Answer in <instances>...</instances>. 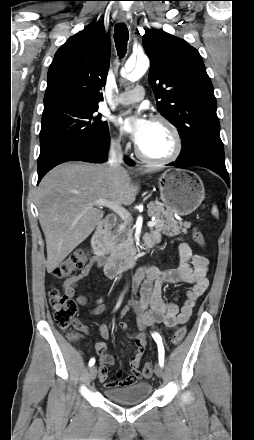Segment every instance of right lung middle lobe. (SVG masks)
<instances>
[{"mask_svg":"<svg viewBox=\"0 0 254 440\" xmlns=\"http://www.w3.org/2000/svg\"><path fill=\"white\" fill-rule=\"evenodd\" d=\"M98 105L74 100H58L44 106L40 131L38 170L65 151L108 135L107 122L96 111Z\"/></svg>","mask_w":254,"mask_h":440,"instance_id":"dd1d6c3e","label":"right lung middle lobe"}]
</instances>
